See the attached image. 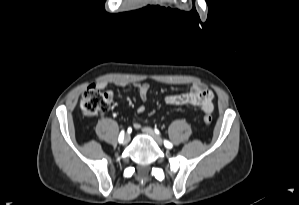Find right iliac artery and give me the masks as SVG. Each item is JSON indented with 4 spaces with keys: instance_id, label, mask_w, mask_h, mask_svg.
<instances>
[{
    "instance_id": "obj_1",
    "label": "right iliac artery",
    "mask_w": 299,
    "mask_h": 205,
    "mask_svg": "<svg viewBox=\"0 0 299 205\" xmlns=\"http://www.w3.org/2000/svg\"><path fill=\"white\" fill-rule=\"evenodd\" d=\"M123 138H124V131H121L120 132V135H119V143H122V141H123Z\"/></svg>"
}]
</instances>
